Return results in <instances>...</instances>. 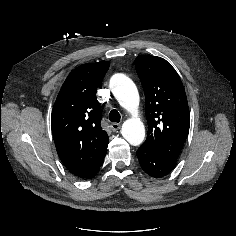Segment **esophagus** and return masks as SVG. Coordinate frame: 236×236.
I'll return each mask as SVG.
<instances>
[{
  "instance_id": "34e87169",
  "label": "esophagus",
  "mask_w": 236,
  "mask_h": 236,
  "mask_svg": "<svg viewBox=\"0 0 236 236\" xmlns=\"http://www.w3.org/2000/svg\"><path fill=\"white\" fill-rule=\"evenodd\" d=\"M110 127L113 131H116V130L120 129V124L119 123H112L110 125Z\"/></svg>"
}]
</instances>
